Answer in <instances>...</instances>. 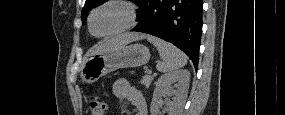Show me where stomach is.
<instances>
[{
    "mask_svg": "<svg viewBox=\"0 0 285 115\" xmlns=\"http://www.w3.org/2000/svg\"><path fill=\"white\" fill-rule=\"evenodd\" d=\"M149 59V49L138 43L126 45L107 53L91 54L83 63L81 78L90 84L117 69L145 65Z\"/></svg>",
    "mask_w": 285,
    "mask_h": 115,
    "instance_id": "obj_1",
    "label": "stomach"
}]
</instances>
